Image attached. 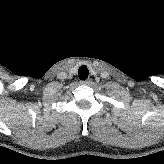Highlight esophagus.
<instances>
[{
    "instance_id": "obj_1",
    "label": "esophagus",
    "mask_w": 164,
    "mask_h": 164,
    "mask_svg": "<svg viewBox=\"0 0 164 164\" xmlns=\"http://www.w3.org/2000/svg\"><path fill=\"white\" fill-rule=\"evenodd\" d=\"M91 83H92L91 79L81 81V84H84V85H90Z\"/></svg>"
}]
</instances>
